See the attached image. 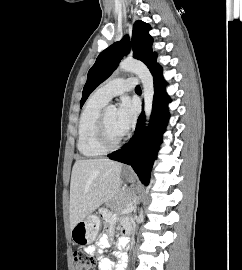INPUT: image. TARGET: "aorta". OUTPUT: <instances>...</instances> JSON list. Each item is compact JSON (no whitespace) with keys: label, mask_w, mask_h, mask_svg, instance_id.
Wrapping results in <instances>:
<instances>
[{"label":"aorta","mask_w":242,"mask_h":270,"mask_svg":"<svg viewBox=\"0 0 242 270\" xmlns=\"http://www.w3.org/2000/svg\"><path fill=\"white\" fill-rule=\"evenodd\" d=\"M119 69L124 72L134 73L141 80L143 87L146 126H148L152 112L153 97H154V83L152 74L150 73L149 69L144 63L130 58L121 61L119 64ZM107 110L114 111L116 110V108L114 105H109L107 107Z\"/></svg>","instance_id":"1"}]
</instances>
